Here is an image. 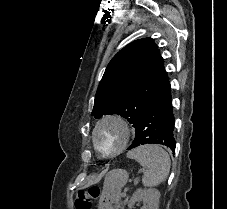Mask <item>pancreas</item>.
Instances as JSON below:
<instances>
[{"instance_id": "1", "label": "pancreas", "mask_w": 227, "mask_h": 209, "mask_svg": "<svg viewBox=\"0 0 227 209\" xmlns=\"http://www.w3.org/2000/svg\"><path fill=\"white\" fill-rule=\"evenodd\" d=\"M123 203H124V204H127V203H128V200H127V199H124V200H123ZM121 206H122V207H120L119 209H126V207H125L123 204H122Z\"/></svg>"}]
</instances>
